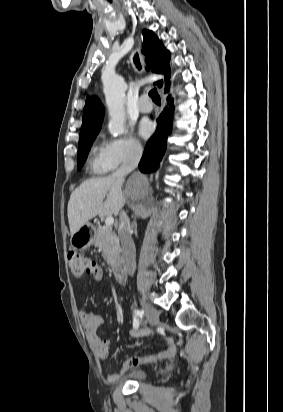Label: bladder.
I'll return each instance as SVG.
<instances>
[{
  "label": "bladder",
  "mask_w": 283,
  "mask_h": 412,
  "mask_svg": "<svg viewBox=\"0 0 283 412\" xmlns=\"http://www.w3.org/2000/svg\"><path fill=\"white\" fill-rule=\"evenodd\" d=\"M147 371L143 368H136L131 371L125 372L121 376L117 377L122 382H140L146 378Z\"/></svg>",
  "instance_id": "1"
}]
</instances>
